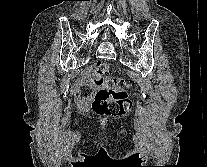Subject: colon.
Masks as SVG:
<instances>
[{
    "mask_svg": "<svg viewBox=\"0 0 207 167\" xmlns=\"http://www.w3.org/2000/svg\"><path fill=\"white\" fill-rule=\"evenodd\" d=\"M93 82L100 87L92 102V108L97 114L120 116L130 109L131 102L126 89L131 84L114 75L108 64L100 62L94 66Z\"/></svg>",
    "mask_w": 207,
    "mask_h": 167,
    "instance_id": "5ec220e1",
    "label": "colon"
}]
</instances>
